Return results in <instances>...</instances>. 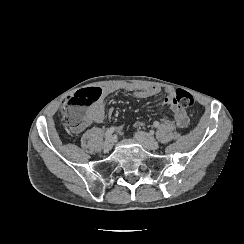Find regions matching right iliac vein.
I'll return each mask as SVG.
<instances>
[{
    "label": "right iliac vein",
    "instance_id": "obj_1",
    "mask_svg": "<svg viewBox=\"0 0 244 244\" xmlns=\"http://www.w3.org/2000/svg\"><path fill=\"white\" fill-rule=\"evenodd\" d=\"M114 143L113 137H110L104 141V149L111 150Z\"/></svg>",
    "mask_w": 244,
    "mask_h": 244
}]
</instances>
